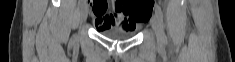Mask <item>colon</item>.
I'll list each match as a JSON object with an SVG mask.
<instances>
[{
    "label": "colon",
    "instance_id": "5ec220e1",
    "mask_svg": "<svg viewBox=\"0 0 235 62\" xmlns=\"http://www.w3.org/2000/svg\"><path fill=\"white\" fill-rule=\"evenodd\" d=\"M154 1L153 0H135L124 1L119 4L123 12L130 18L133 24L145 22L150 14ZM105 3H98L95 6L99 9L104 8Z\"/></svg>",
    "mask_w": 235,
    "mask_h": 62
}]
</instances>
